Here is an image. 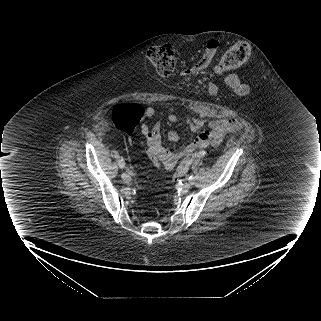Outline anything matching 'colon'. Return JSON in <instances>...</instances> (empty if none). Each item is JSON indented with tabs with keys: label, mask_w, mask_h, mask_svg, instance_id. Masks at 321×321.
<instances>
[{
	"label": "colon",
	"mask_w": 321,
	"mask_h": 321,
	"mask_svg": "<svg viewBox=\"0 0 321 321\" xmlns=\"http://www.w3.org/2000/svg\"><path fill=\"white\" fill-rule=\"evenodd\" d=\"M250 56V47L245 42L232 46L216 64L214 70L222 75L243 65ZM147 59L158 75L170 77L175 73L177 55L170 45L151 47L147 51ZM146 116L145 108L136 102H127L118 105L113 113L115 126L126 132L132 133ZM210 135L203 132L196 138V150L184 157L178 165L174 178L178 179L186 174L191 164L205 156L203 147L209 144Z\"/></svg>",
	"instance_id": "1"
}]
</instances>
